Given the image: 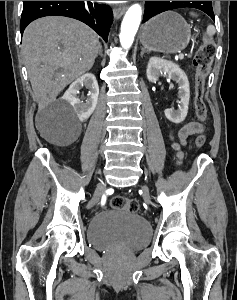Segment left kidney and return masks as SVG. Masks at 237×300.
Masks as SVG:
<instances>
[{
    "instance_id": "left-kidney-1",
    "label": "left kidney",
    "mask_w": 237,
    "mask_h": 300,
    "mask_svg": "<svg viewBox=\"0 0 237 300\" xmlns=\"http://www.w3.org/2000/svg\"><path fill=\"white\" fill-rule=\"evenodd\" d=\"M161 73H167L169 79H173L179 85V109H165V117L171 123H182L185 121L188 113V105L190 101V87L186 73L180 69L179 65L172 63V61H165L159 57H151L147 65V79L150 83H156Z\"/></svg>"
}]
</instances>
